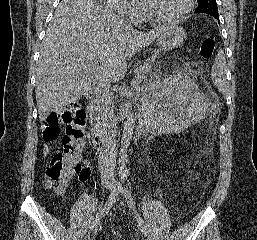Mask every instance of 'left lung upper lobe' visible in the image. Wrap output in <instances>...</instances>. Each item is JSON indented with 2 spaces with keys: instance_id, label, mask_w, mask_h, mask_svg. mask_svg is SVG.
I'll list each match as a JSON object with an SVG mask.
<instances>
[{
  "instance_id": "1",
  "label": "left lung upper lobe",
  "mask_w": 257,
  "mask_h": 240,
  "mask_svg": "<svg viewBox=\"0 0 257 240\" xmlns=\"http://www.w3.org/2000/svg\"><path fill=\"white\" fill-rule=\"evenodd\" d=\"M196 13H205L219 19L216 0H198Z\"/></svg>"
}]
</instances>
